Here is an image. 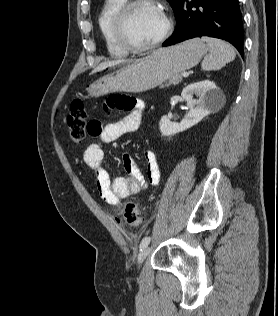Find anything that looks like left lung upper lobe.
<instances>
[{
    "label": "left lung upper lobe",
    "instance_id": "1",
    "mask_svg": "<svg viewBox=\"0 0 278 316\" xmlns=\"http://www.w3.org/2000/svg\"><path fill=\"white\" fill-rule=\"evenodd\" d=\"M182 2H183V0H169V3L174 11V14H175V18H177V16H178V12L180 10Z\"/></svg>",
    "mask_w": 278,
    "mask_h": 316
}]
</instances>
